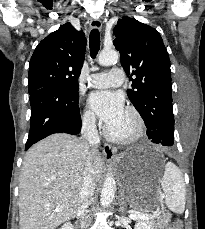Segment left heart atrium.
I'll list each match as a JSON object with an SVG mask.
<instances>
[{
    "label": "left heart atrium",
    "mask_w": 205,
    "mask_h": 229,
    "mask_svg": "<svg viewBox=\"0 0 205 229\" xmlns=\"http://www.w3.org/2000/svg\"><path fill=\"white\" fill-rule=\"evenodd\" d=\"M88 103L107 127L118 121L125 111L123 96L113 91L94 92L89 96Z\"/></svg>",
    "instance_id": "39dd6f15"
}]
</instances>
